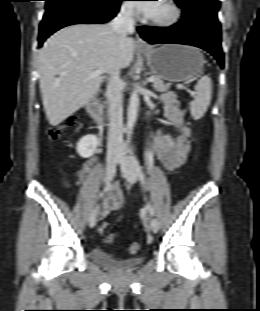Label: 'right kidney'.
Listing matches in <instances>:
<instances>
[{"instance_id":"1","label":"right kidney","mask_w":260,"mask_h":311,"mask_svg":"<svg viewBox=\"0 0 260 311\" xmlns=\"http://www.w3.org/2000/svg\"><path fill=\"white\" fill-rule=\"evenodd\" d=\"M98 143V138L95 135H86L77 143V153L82 158H89L94 154Z\"/></svg>"}]
</instances>
